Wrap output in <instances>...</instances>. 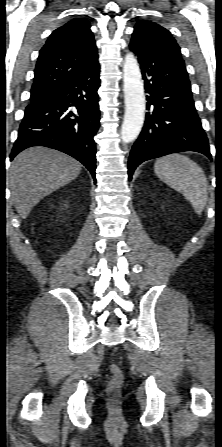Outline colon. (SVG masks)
I'll use <instances>...</instances> for the list:
<instances>
[{"instance_id": "5ec220e1", "label": "colon", "mask_w": 222, "mask_h": 447, "mask_svg": "<svg viewBox=\"0 0 222 447\" xmlns=\"http://www.w3.org/2000/svg\"><path fill=\"white\" fill-rule=\"evenodd\" d=\"M111 376L106 392L109 398L116 400L120 397L124 377L122 371L116 365L111 367Z\"/></svg>"}]
</instances>
